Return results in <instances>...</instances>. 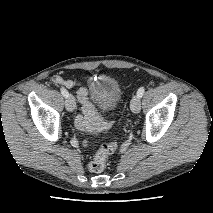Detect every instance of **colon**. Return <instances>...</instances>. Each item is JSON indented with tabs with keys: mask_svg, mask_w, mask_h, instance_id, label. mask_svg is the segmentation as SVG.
<instances>
[{
	"mask_svg": "<svg viewBox=\"0 0 213 213\" xmlns=\"http://www.w3.org/2000/svg\"><path fill=\"white\" fill-rule=\"evenodd\" d=\"M116 142H105L101 144L93 158L88 163L91 173H100L104 170L108 157L116 150Z\"/></svg>",
	"mask_w": 213,
	"mask_h": 213,
	"instance_id": "colon-1",
	"label": "colon"
}]
</instances>
